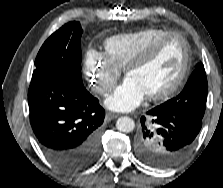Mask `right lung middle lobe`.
I'll return each instance as SVG.
<instances>
[{"instance_id":"right-lung-middle-lobe-1","label":"right lung middle lobe","mask_w":223,"mask_h":188,"mask_svg":"<svg viewBox=\"0 0 223 188\" xmlns=\"http://www.w3.org/2000/svg\"><path fill=\"white\" fill-rule=\"evenodd\" d=\"M79 22L65 24L42 45L33 75L59 77L84 88L81 75V35Z\"/></svg>"}]
</instances>
